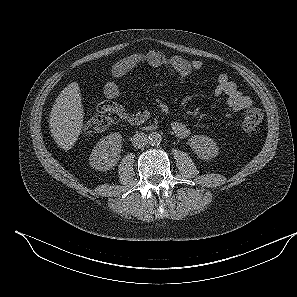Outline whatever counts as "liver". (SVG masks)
<instances>
[{"label": "liver", "mask_w": 297, "mask_h": 297, "mask_svg": "<svg viewBox=\"0 0 297 297\" xmlns=\"http://www.w3.org/2000/svg\"><path fill=\"white\" fill-rule=\"evenodd\" d=\"M84 110L77 82L65 87L56 98L49 119L50 132L57 145L71 149L82 132Z\"/></svg>", "instance_id": "obj_1"}]
</instances>
